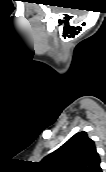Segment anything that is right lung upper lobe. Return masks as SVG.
Returning a JSON list of instances; mask_svg holds the SVG:
<instances>
[{"label": "right lung upper lobe", "instance_id": "cb5924a9", "mask_svg": "<svg viewBox=\"0 0 106 172\" xmlns=\"http://www.w3.org/2000/svg\"><path fill=\"white\" fill-rule=\"evenodd\" d=\"M43 172H103L94 141L79 132L39 163Z\"/></svg>", "mask_w": 106, "mask_h": 172}]
</instances>
